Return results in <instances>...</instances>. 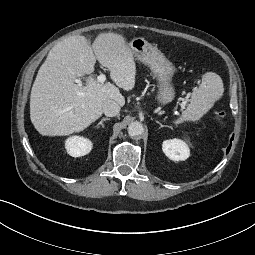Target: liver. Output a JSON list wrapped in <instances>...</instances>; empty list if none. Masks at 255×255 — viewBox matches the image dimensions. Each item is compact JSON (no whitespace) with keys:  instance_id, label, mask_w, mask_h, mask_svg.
Returning <instances> with one entry per match:
<instances>
[{"instance_id":"1","label":"liver","mask_w":255,"mask_h":255,"mask_svg":"<svg viewBox=\"0 0 255 255\" xmlns=\"http://www.w3.org/2000/svg\"><path fill=\"white\" fill-rule=\"evenodd\" d=\"M96 60L115 84L93 78L85 86L75 84L94 71ZM135 77L134 55L122 34L99 33L92 45L85 36L68 37L51 49L38 71L30 95L31 122L43 136L80 132L102 115L104 101L124 106L119 88L132 90Z\"/></svg>"}]
</instances>
